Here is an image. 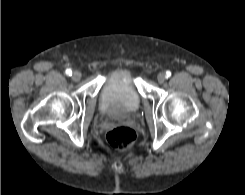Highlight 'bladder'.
Instances as JSON below:
<instances>
[{
  "label": "bladder",
  "mask_w": 245,
  "mask_h": 195,
  "mask_svg": "<svg viewBox=\"0 0 245 195\" xmlns=\"http://www.w3.org/2000/svg\"><path fill=\"white\" fill-rule=\"evenodd\" d=\"M103 112L133 113L140 108L141 95L129 70L120 69L110 77L100 93Z\"/></svg>",
  "instance_id": "1"
}]
</instances>
